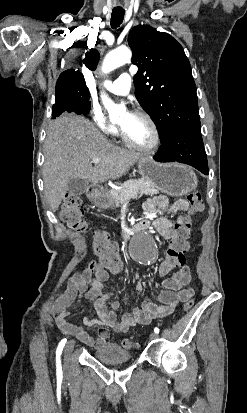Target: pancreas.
<instances>
[{
  "mask_svg": "<svg viewBox=\"0 0 247 413\" xmlns=\"http://www.w3.org/2000/svg\"><path fill=\"white\" fill-rule=\"evenodd\" d=\"M122 188H110L115 207H120L122 202H129L130 198H136L139 194H158L159 190L144 178H130L121 184Z\"/></svg>",
  "mask_w": 247,
  "mask_h": 413,
  "instance_id": "obj_1",
  "label": "pancreas"
}]
</instances>
